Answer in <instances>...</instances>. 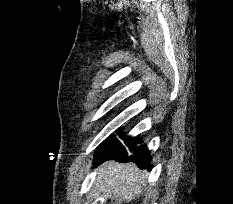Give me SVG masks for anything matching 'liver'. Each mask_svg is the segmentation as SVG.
<instances>
[{
  "instance_id": "obj_1",
  "label": "liver",
  "mask_w": 233,
  "mask_h": 204,
  "mask_svg": "<svg viewBox=\"0 0 233 204\" xmlns=\"http://www.w3.org/2000/svg\"><path fill=\"white\" fill-rule=\"evenodd\" d=\"M147 173L133 163H104L96 177V188L107 198L130 201L139 198L147 186Z\"/></svg>"
}]
</instances>
